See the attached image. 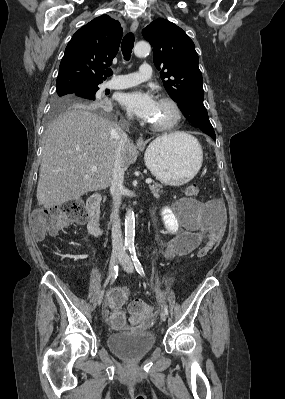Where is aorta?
Returning a JSON list of instances; mask_svg holds the SVG:
<instances>
[{
	"instance_id": "762f6f07",
	"label": "aorta",
	"mask_w": 285,
	"mask_h": 399,
	"mask_svg": "<svg viewBox=\"0 0 285 399\" xmlns=\"http://www.w3.org/2000/svg\"><path fill=\"white\" fill-rule=\"evenodd\" d=\"M151 51V46L145 41H140L134 46V54L137 57H146ZM135 215L132 209H128L125 215V246H134Z\"/></svg>"
}]
</instances>
